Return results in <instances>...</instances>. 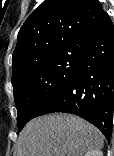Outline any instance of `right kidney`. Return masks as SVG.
Returning a JSON list of instances; mask_svg holds the SVG:
<instances>
[{"instance_id": "1", "label": "right kidney", "mask_w": 114, "mask_h": 156, "mask_svg": "<svg viewBox=\"0 0 114 156\" xmlns=\"http://www.w3.org/2000/svg\"><path fill=\"white\" fill-rule=\"evenodd\" d=\"M85 156H103V153L101 150H93V151L87 152Z\"/></svg>"}]
</instances>
